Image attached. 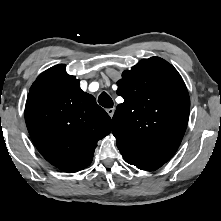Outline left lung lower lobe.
Masks as SVG:
<instances>
[{
	"instance_id": "0a47b994",
	"label": "left lung lower lobe",
	"mask_w": 221,
	"mask_h": 221,
	"mask_svg": "<svg viewBox=\"0 0 221 221\" xmlns=\"http://www.w3.org/2000/svg\"><path fill=\"white\" fill-rule=\"evenodd\" d=\"M118 149L120 150L126 162H128L131 165L136 166L137 168L141 170L154 171L163 165L162 163H159V162H153V161L142 159L125 148H118Z\"/></svg>"
}]
</instances>
